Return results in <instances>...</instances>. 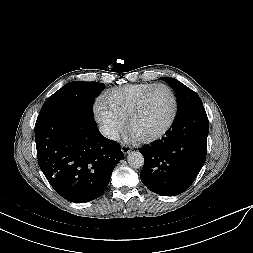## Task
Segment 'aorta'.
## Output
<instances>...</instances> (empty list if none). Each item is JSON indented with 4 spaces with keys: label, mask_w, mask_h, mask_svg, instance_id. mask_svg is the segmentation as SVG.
<instances>
[{
    "label": "aorta",
    "mask_w": 253,
    "mask_h": 253,
    "mask_svg": "<svg viewBox=\"0 0 253 253\" xmlns=\"http://www.w3.org/2000/svg\"><path fill=\"white\" fill-rule=\"evenodd\" d=\"M128 164L133 168H140L144 165V157L139 151H132L127 156Z\"/></svg>",
    "instance_id": "1"
}]
</instances>
